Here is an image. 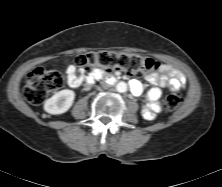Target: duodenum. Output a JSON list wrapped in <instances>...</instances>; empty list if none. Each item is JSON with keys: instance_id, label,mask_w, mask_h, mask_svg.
Instances as JSON below:
<instances>
[{"instance_id": "410a0bca", "label": "duodenum", "mask_w": 222, "mask_h": 187, "mask_svg": "<svg viewBox=\"0 0 222 187\" xmlns=\"http://www.w3.org/2000/svg\"><path fill=\"white\" fill-rule=\"evenodd\" d=\"M100 77H104V79L108 82V83H114L118 80L117 76L115 75H104L103 76V73H96V74H93L92 76L89 77V80L90 81H93V80H96Z\"/></svg>"}]
</instances>
